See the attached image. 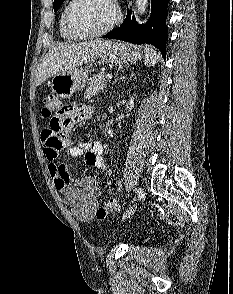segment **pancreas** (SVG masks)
I'll return each mask as SVG.
<instances>
[{
	"instance_id": "cf45deb5",
	"label": "pancreas",
	"mask_w": 233,
	"mask_h": 294,
	"mask_svg": "<svg viewBox=\"0 0 233 294\" xmlns=\"http://www.w3.org/2000/svg\"><path fill=\"white\" fill-rule=\"evenodd\" d=\"M107 74L101 73L95 77L87 87L84 93V99H91L94 95H97L100 91H103L107 87Z\"/></svg>"
}]
</instances>
